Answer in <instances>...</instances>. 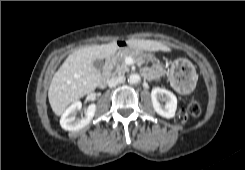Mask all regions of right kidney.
Listing matches in <instances>:
<instances>
[{"label": "right kidney", "instance_id": "right-kidney-1", "mask_svg": "<svg viewBox=\"0 0 245 170\" xmlns=\"http://www.w3.org/2000/svg\"><path fill=\"white\" fill-rule=\"evenodd\" d=\"M81 108L82 103L80 101H76L64 111L60 119V125L63 129L68 131H77L84 128L91 122L95 115L96 105H89L85 111V116L77 118V111Z\"/></svg>", "mask_w": 245, "mask_h": 170}]
</instances>
